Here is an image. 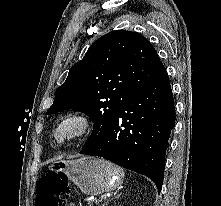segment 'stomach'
Wrapping results in <instances>:
<instances>
[{
	"mask_svg": "<svg viewBox=\"0 0 221 206\" xmlns=\"http://www.w3.org/2000/svg\"><path fill=\"white\" fill-rule=\"evenodd\" d=\"M49 168L53 171H64L68 179L88 195L113 191L122 185L124 179L122 169L95 157L54 161Z\"/></svg>",
	"mask_w": 221,
	"mask_h": 206,
	"instance_id": "1",
	"label": "stomach"
}]
</instances>
